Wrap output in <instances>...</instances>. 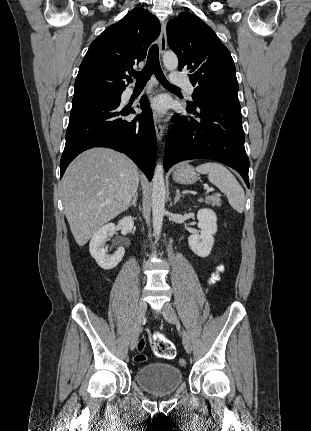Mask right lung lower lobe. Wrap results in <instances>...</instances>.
<instances>
[{"label":"right lung lower lobe","mask_w":311,"mask_h":431,"mask_svg":"<svg viewBox=\"0 0 311 431\" xmlns=\"http://www.w3.org/2000/svg\"><path fill=\"white\" fill-rule=\"evenodd\" d=\"M144 112L127 121L120 116L134 113L120 102L89 101L72 105L66 144L60 161V178L67 166L81 152L92 147H108L125 153L152 179L157 142L152 112L146 96L140 100Z\"/></svg>","instance_id":"right-lung-lower-lobe-1"}]
</instances>
